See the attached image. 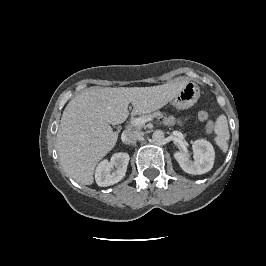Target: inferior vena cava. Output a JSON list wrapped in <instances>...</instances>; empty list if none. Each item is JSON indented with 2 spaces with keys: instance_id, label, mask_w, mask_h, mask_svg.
<instances>
[{
  "instance_id": "602c4592",
  "label": "inferior vena cava",
  "mask_w": 266,
  "mask_h": 266,
  "mask_svg": "<svg viewBox=\"0 0 266 266\" xmlns=\"http://www.w3.org/2000/svg\"><path fill=\"white\" fill-rule=\"evenodd\" d=\"M143 135V132L138 130H125L121 135V140L125 144H131L142 139Z\"/></svg>"
}]
</instances>
